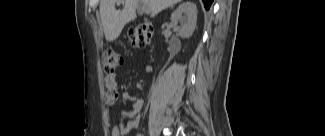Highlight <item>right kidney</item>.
I'll use <instances>...</instances> for the list:
<instances>
[{"label":"right kidney","instance_id":"right-kidney-1","mask_svg":"<svg viewBox=\"0 0 325 136\" xmlns=\"http://www.w3.org/2000/svg\"><path fill=\"white\" fill-rule=\"evenodd\" d=\"M178 21L180 26H177ZM197 23V7L191 1L178 6L171 15V26L181 38H189L193 34Z\"/></svg>","mask_w":325,"mask_h":136}]
</instances>
